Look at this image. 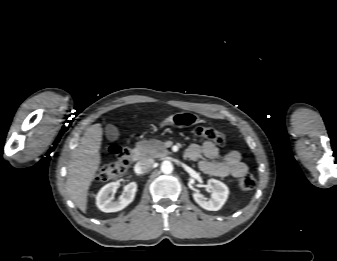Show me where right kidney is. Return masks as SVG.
<instances>
[{
	"label": "right kidney",
	"mask_w": 337,
	"mask_h": 261,
	"mask_svg": "<svg viewBox=\"0 0 337 261\" xmlns=\"http://www.w3.org/2000/svg\"><path fill=\"white\" fill-rule=\"evenodd\" d=\"M119 187V183L111 182L105 185L96 196V205L103 212H117L128 206L135 197L137 184L131 182L124 187V193L116 201L110 194H114Z\"/></svg>",
	"instance_id": "obj_1"
}]
</instances>
